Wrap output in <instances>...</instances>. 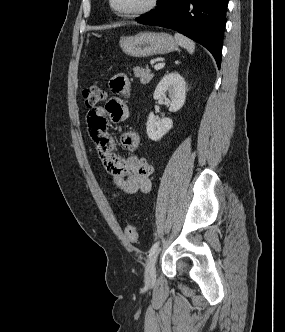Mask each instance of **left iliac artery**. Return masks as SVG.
<instances>
[{"label": "left iliac artery", "mask_w": 285, "mask_h": 332, "mask_svg": "<svg viewBox=\"0 0 285 332\" xmlns=\"http://www.w3.org/2000/svg\"><path fill=\"white\" fill-rule=\"evenodd\" d=\"M159 244H160V242L157 241L152 245L151 249L149 250V254H148L149 258H152V256L157 252V250L159 248Z\"/></svg>", "instance_id": "obj_1"}]
</instances>
